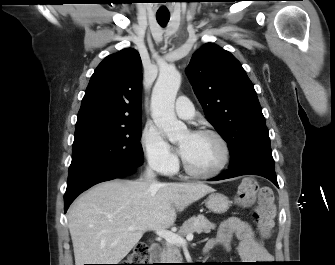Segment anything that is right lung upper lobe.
<instances>
[{
	"label": "right lung upper lobe",
	"instance_id": "obj_1",
	"mask_svg": "<svg viewBox=\"0 0 335 265\" xmlns=\"http://www.w3.org/2000/svg\"><path fill=\"white\" fill-rule=\"evenodd\" d=\"M141 95L142 63L139 53L126 48L107 56L90 79L76 129L142 120Z\"/></svg>",
	"mask_w": 335,
	"mask_h": 265
}]
</instances>
